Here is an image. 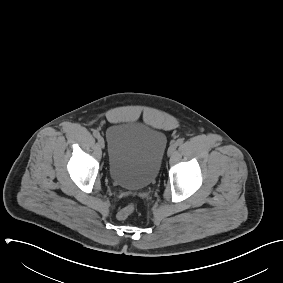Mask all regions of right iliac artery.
Masks as SVG:
<instances>
[{
    "label": "right iliac artery",
    "mask_w": 283,
    "mask_h": 283,
    "mask_svg": "<svg viewBox=\"0 0 283 283\" xmlns=\"http://www.w3.org/2000/svg\"><path fill=\"white\" fill-rule=\"evenodd\" d=\"M93 135H94V137H96V138H99V137H100V133H99L97 130H94V131H93Z\"/></svg>",
    "instance_id": "right-iliac-artery-1"
}]
</instances>
